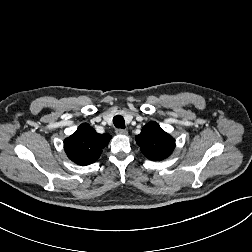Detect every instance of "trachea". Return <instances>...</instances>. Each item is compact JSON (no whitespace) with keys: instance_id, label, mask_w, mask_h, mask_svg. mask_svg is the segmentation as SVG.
I'll list each match as a JSON object with an SVG mask.
<instances>
[{"instance_id":"trachea-1","label":"trachea","mask_w":252,"mask_h":252,"mask_svg":"<svg viewBox=\"0 0 252 252\" xmlns=\"http://www.w3.org/2000/svg\"><path fill=\"white\" fill-rule=\"evenodd\" d=\"M113 124L116 128H119V129L125 128V120L121 115H116L113 118Z\"/></svg>"}]
</instances>
